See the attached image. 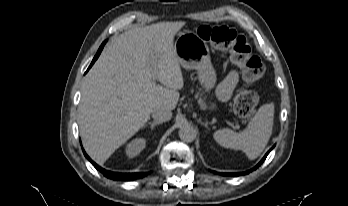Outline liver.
Wrapping results in <instances>:
<instances>
[{"mask_svg":"<svg viewBox=\"0 0 348 206\" xmlns=\"http://www.w3.org/2000/svg\"><path fill=\"white\" fill-rule=\"evenodd\" d=\"M185 22L133 27L112 40L85 77L79 108L85 150L103 164L184 86L173 40ZM156 81L160 84H156Z\"/></svg>","mask_w":348,"mask_h":206,"instance_id":"obj_1","label":"liver"}]
</instances>
